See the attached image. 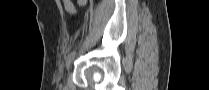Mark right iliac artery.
Segmentation results:
<instances>
[{"mask_svg":"<svg viewBox=\"0 0 209 90\" xmlns=\"http://www.w3.org/2000/svg\"><path fill=\"white\" fill-rule=\"evenodd\" d=\"M74 55H75V51H72L71 53H69L67 56V60H70L71 58H73Z\"/></svg>","mask_w":209,"mask_h":90,"instance_id":"1","label":"right iliac artery"}]
</instances>
